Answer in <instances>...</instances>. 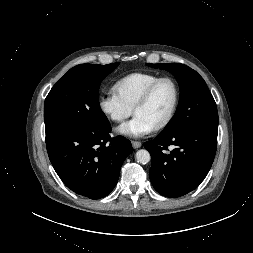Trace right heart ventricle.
Returning <instances> with one entry per match:
<instances>
[{
	"label": "right heart ventricle",
	"mask_w": 253,
	"mask_h": 253,
	"mask_svg": "<svg viewBox=\"0 0 253 253\" xmlns=\"http://www.w3.org/2000/svg\"><path fill=\"white\" fill-rule=\"evenodd\" d=\"M157 78L158 75L148 72L130 73L114 84V91L130 107H134L144 90Z\"/></svg>",
	"instance_id": "1"
}]
</instances>
